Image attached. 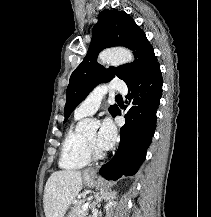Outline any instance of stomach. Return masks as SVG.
<instances>
[{
	"label": "stomach",
	"instance_id": "0dacf381",
	"mask_svg": "<svg viewBox=\"0 0 211 217\" xmlns=\"http://www.w3.org/2000/svg\"><path fill=\"white\" fill-rule=\"evenodd\" d=\"M84 181L88 186H93L96 183L97 175L95 172H85L84 175ZM70 216V214H69ZM67 216V217H69Z\"/></svg>",
	"mask_w": 211,
	"mask_h": 217
}]
</instances>
